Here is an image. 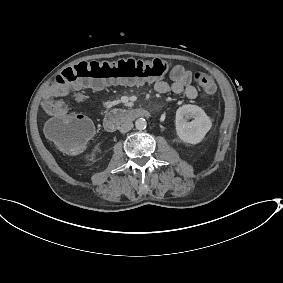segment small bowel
Instances as JSON below:
<instances>
[{
    "instance_id": "small-bowel-1",
    "label": "small bowel",
    "mask_w": 283,
    "mask_h": 283,
    "mask_svg": "<svg viewBox=\"0 0 283 283\" xmlns=\"http://www.w3.org/2000/svg\"><path fill=\"white\" fill-rule=\"evenodd\" d=\"M171 83L163 80H155L153 88L158 93H183L188 99H195L198 95L197 89L191 84L192 73L182 65H175L169 73ZM71 88L68 85L51 84L44 93L43 109L52 117H63L68 113L66 104L62 97L69 95Z\"/></svg>"
}]
</instances>
